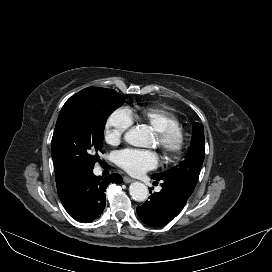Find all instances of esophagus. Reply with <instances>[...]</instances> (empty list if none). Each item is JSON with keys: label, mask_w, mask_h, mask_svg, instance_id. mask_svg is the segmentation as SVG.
Instances as JSON below:
<instances>
[{"label": "esophagus", "mask_w": 272, "mask_h": 272, "mask_svg": "<svg viewBox=\"0 0 272 272\" xmlns=\"http://www.w3.org/2000/svg\"><path fill=\"white\" fill-rule=\"evenodd\" d=\"M123 181H124L125 183H130V182H133L134 180L131 179V178H129V177H124V178H123Z\"/></svg>", "instance_id": "1"}]
</instances>
